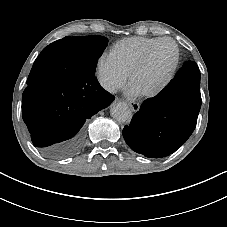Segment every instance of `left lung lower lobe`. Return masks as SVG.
<instances>
[{
  "instance_id": "0a47b994",
  "label": "left lung lower lobe",
  "mask_w": 227,
  "mask_h": 227,
  "mask_svg": "<svg viewBox=\"0 0 227 227\" xmlns=\"http://www.w3.org/2000/svg\"><path fill=\"white\" fill-rule=\"evenodd\" d=\"M201 102L200 71L195 62L187 61L160 94L141 105L123 137L137 153L166 157L194 131Z\"/></svg>"
}]
</instances>
